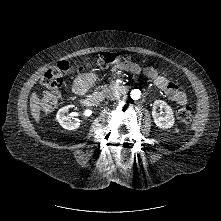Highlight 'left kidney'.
<instances>
[{
	"mask_svg": "<svg viewBox=\"0 0 221 221\" xmlns=\"http://www.w3.org/2000/svg\"><path fill=\"white\" fill-rule=\"evenodd\" d=\"M157 107L164 108L165 110V115L161 116L158 113H156L155 109ZM153 112L152 116L154 119V122L156 126L160 127L161 129H168L171 128L174 125V115L171 107L163 100H156L154 102L153 106Z\"/></svg>",
	"mask_w": 221,
	"mask_h": 221,
	"instance_id": "obj_1",
	"label": "left kidney"
}]
</instances>
